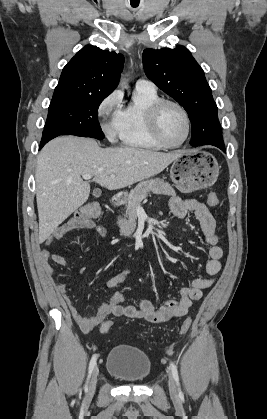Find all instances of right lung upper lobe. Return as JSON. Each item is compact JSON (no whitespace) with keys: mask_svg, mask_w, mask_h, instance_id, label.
<instances>
[{"mask_svg":"<svg viewBox=\"0 0 267 419\" xmlns=\"http://www.w3.org/2000/svg\"><path fill=\"white\" fill-rule=\"evenodd\" d=\"M124 56L84 46L63 68L54 95H109L118 85Z\"/></svg>","mask_w":267,"mask_h":419,"instance_id":"right-lung-upper-lobe-1","label":"right lung upper lobe"}]
</instances>
